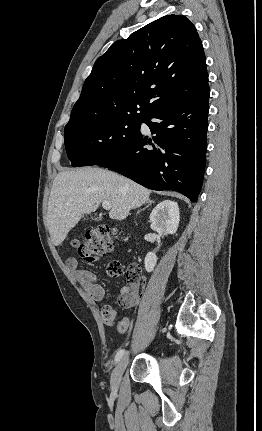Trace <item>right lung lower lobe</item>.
Listing matches in <instances>:
<instances>
[{
  "label": "right lung lower lobe",
  "mask_w": 262,
  "mask_h": 431,
  "mask_svg": "<svg viewBox=\"0 0 262 431\" xmlns=\"http://www.w3.org/2000/svg\"><path fill=\"white\" fill-rule=\"evenodd\" d=\"M209 94L206 85L194 97L151 114L144 122L156 134L153 140L138 132L120 151L96 165L149 189L174 190L196 202L206 164Z\"/></svg>",
  "instance_id": "1"
}]
</instances>
